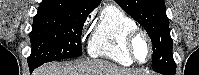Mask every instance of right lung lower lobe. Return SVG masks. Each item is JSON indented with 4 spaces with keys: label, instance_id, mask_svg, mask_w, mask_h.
Here are the masks:
<instances>
[{
    "label": "right lung lower lobe",
    "instance_id": "98d812e1",
    "mask_svg": "<svg viewBox=\"0 0 199 75\" xmlns=\"http://www.w3.org/2000/svg\"><path fill=\"white\" fill-rule=\"evenodd\" d=\"M36 67L29 65L30 72H32Z\"/></svg>",
    "mask_w": 199,
    "mask_h": 75
}]
</instances>
